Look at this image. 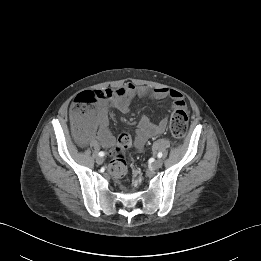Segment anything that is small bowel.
<instances>
[{"label": "small bowel", "mask_w": 261, "mask_h": 261, "mask_svg": "<svg viewBox=\"0 0 261 261\" xmlns=\"http://www.w3.org/2000/svg\"><path fill=\"white\" fill-rule=\"evenodd\" d=\"M96 97V107L82 123L83 129L79 139L81 144L91 142L96 137L105 147L114 145L115 138L109 126V110L114 108L123 114L128 113L130 104L136 97L153 100L171 98L174 107L177 109H183L186 105L183 95L177 90L166 87L137 86L130 82L116 89L106 88L98 90L96 91ZM166 128L167 119L153 124L147 117H142L135 132V148L141 150L149 138L164 133Z\"/></svg>", "instance_id": "1"}]
</instances>
